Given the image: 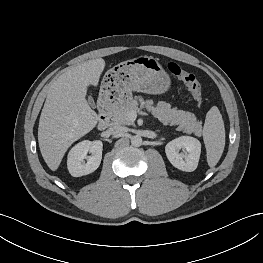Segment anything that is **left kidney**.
<instances>
[{
  "mask_svg": "<svg viewBox=\"0 0 263 263\" xmlns=\"http://www.w3.org/2000/svg\"><path fill=\"white\" fill-rule=\"evenodd\" d=\"M182 150V152H180ZM165 153L170 163L179 170L192 172L199 162L201 143L190 136H181L165 146Z\"/></svg>",
  "mask_w": 263,
  "mask_h": 263,
  "instance_id": "obj_1",
  "label": "left kidney"
}]
</instances>
